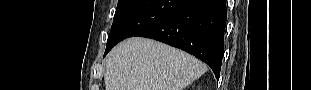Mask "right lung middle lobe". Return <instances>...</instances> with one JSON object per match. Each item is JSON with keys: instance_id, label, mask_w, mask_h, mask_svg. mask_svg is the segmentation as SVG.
I'll list each match as a JSON object with an SVG mask.
<instances>
[{"instance_id": "obj_1", "label": "right lung middle lobe", "mask_w": 311, "mask_h": 90, "mask_svg": "<svg viewBox=\"0 0 311 90\" xmlns=\"http://www.w3.org/2000/svg\"><path fill=\"white\" fill-rule=\"evenodd\" d=\"M186 0H119L105 55L120 41L160 22Z\"/></svg>"}]
</instances>
